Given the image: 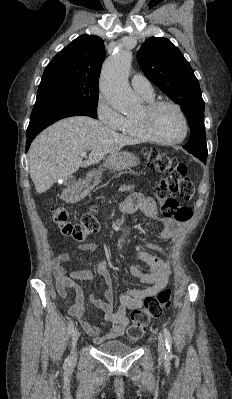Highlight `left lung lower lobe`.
<instances>
[{"label": "left lung lower lobe", "mask_w": 232, "mask_h": 399, "mask_svg": "<svg viewBox=\"0 0 232 399\" xmlns=\"http://www.w3.org/2000/svg\"><path fill=\"white\" fill-rule=\"evenodd\" d=\"M202 162L206 163L207 158H199Z\"/></svg>", "instance_id": "obj_1"}]
</instances>
